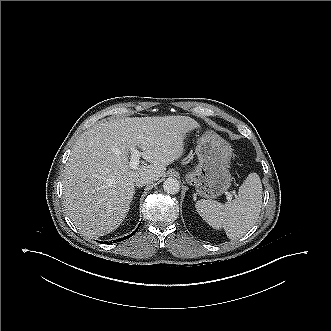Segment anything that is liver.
Here are the masks:
<instances>
[{
  "label": "liver",
  "mask_w": 331,
  "mask_h": 331,
  "mask_svg": "<svg viewBox=\"0 0 331 331\" xmlns=\"http://www.w3.org/2000/svg\"><path fill=\"white\" fill-rule=\"evenodd\" d=\"M196 127L186 116L135 117L86 131L73 147L63 176V196L77 228L92 237L114 231L130 209L136 178L162 177L166 166L182 156L185 134ZM133 148L150 165L132 169L128 157Z\"/></svg>",
  "instance_id": "1"
}]
</instances>
